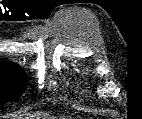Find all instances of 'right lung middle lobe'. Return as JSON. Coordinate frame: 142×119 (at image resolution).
<instances>
[{
  "label": "right lung middle lobe",
  "instance_id": "obj_1",
  "mask_svg": "<svg viewBox=\"0 0 142 119\" xmlns=\"http://www.w3.org/2000/svg\"><path fill=\"white\" fill-rule=\"evenodd\" d=\"M26 86V78L20 68L0 69V109L4 103L18 99Z\"/></svg>",
  "mask_w": 142,
  "mask_h": 119
}]
</instances>
